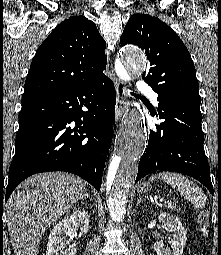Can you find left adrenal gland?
I'll return each instance as SVG.
<instances>
[{"label": "left adrenal gland", "instance_id": "left-adrenal-gland-1", "mask_svg": "<svg viewBox=\"0 0 221 255\" xmlns=\"http://www.w3.org/2000/svg\"><path fill=\"white\" fill-rule=\"evenodd\" d=\"M143 202H144V200H142L141 196L139 195L138 200H137V206Z\"/></svg>", "mask_w": 221, "mask_h": 255}]
</instances>
